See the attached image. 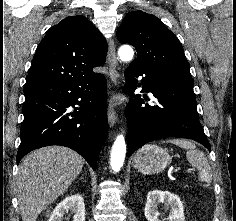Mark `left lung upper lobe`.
<instances>
[{
  "label": "left lung upper lobe",
  "mask_w": 236,
  "mask_h": 221,
  "mask_svg": "<svg viewBox=\"0 0 236 221\" xmlns=\"http://www.w3.org/2000/svg\"><path fill=\"white\" fill-rule=\"evenodd\" d=\"M117 37L120 42L136 48L137 59L130 65L194 85L182 45L154 15L140 10L128 13L117 31Z\"/></svg>",
  "instance_id": "obj_1"
}]
</instances>
